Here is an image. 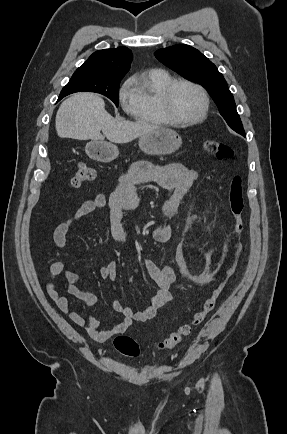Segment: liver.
I'll use <instances>...</instances> for the list:
<instances>
[{"label":"liver","instance_id":"liver-1","mask_svg":"<svg viewBox=\"0 0 287 434\" xmlns=\"http://www.w3.org/2000/svg\"><path fill=\"white\" fill-rule=\"evenodd\" d=\"M59 137L77 140L127 143L159 127L144 121L114 119L106 110L104 100L94 93H76L62 102L55 119ZM102 131L103 135L100 133Z\"/></svg>","mask_w":287,"mask_h":434}]
</instances>
